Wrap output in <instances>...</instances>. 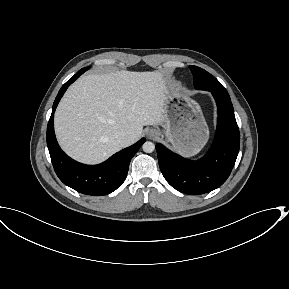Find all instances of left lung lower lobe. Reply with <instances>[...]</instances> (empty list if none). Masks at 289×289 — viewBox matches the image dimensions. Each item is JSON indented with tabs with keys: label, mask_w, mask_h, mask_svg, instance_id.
I'll return each mask as SVG.
<instances>
[{
	"label": "left lung lower lobe",
	"mask_w": 289,
	"mask_h": 289,
	"mask_svg": "<svg viewBox=\"0 0 289 289\" xmlns=\"http://www.w3.org/2000/svg\"><path fill=\"white\" fill-rule=\"evenodd\" d=\"M218 107V125L208 153L197 161L187 160L162 144H156L159 166L164 178L176 190L200 195L222 185L235 164L240 134L228 93L211 92Z\"/></svg>",
	"instance_id": "left-lung-lower-lobe-1"
}]
</instances>
